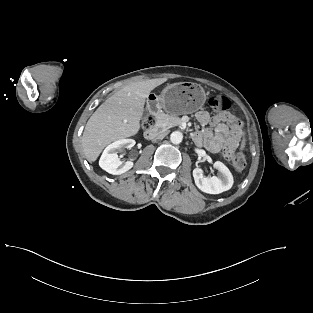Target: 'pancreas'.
<instances>
[{
  "label": "pancreas",
  "mask_w": 313,
  "mask_h": 313,
  "mask_svg": "<svg viewBox=\"0 0 313 313\" xmlns=\"http://www.w3.org/2000/svg\"><path fill=\"white\" fill-rule=\"evenodd\" d=\"M156 126L167 130L171 127L182 126V120L176 115H169L160 111L156 114Z\"/></svg>",
  "instance_id": "1"
}]
</instances>
